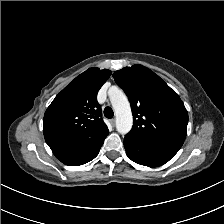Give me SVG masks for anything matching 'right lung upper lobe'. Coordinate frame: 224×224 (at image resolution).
<instances>
[{
  "label": "right lung upper lobe",
  "instance_id": "obj_1",
  "mask_svg": "<svg viewBox=\"0 0 224 224\" xmlns=\"http://www.w3.org/2000/svg\"><path fill=\"white\" fill-rule=\"evenodd\" d=\"M111 71L90 68L66 86L47 108L43 129H54L79 137L98 139L109 133L101 116L97 92Z\"/></svg>",
  "mask_w": 224,
  "mask_h": 224
}]
</instances>
